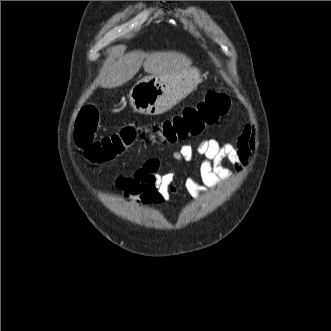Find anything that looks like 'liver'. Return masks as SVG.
Masks as SVG:
<instances>
[{
	"instance_id": "obj_1",
	"label": "liver",
	"mask_w": 331,
	"mask_h": 331,
	"mask_svg": "<svg viewBox=\"0 0 331 331\" xmlns=\"http://www.w3.org/2000/svg\"><path fill=\"white\" fill-rule=\"evenodd\" d=\"M191 59L176 51L145 53L132 51L121 56L112 65L107 66L99 78L103 88H115L131 80L143 66L144 71L161 78H169L185 71L191 65Z\"/></svg>"
}]
</instances>
